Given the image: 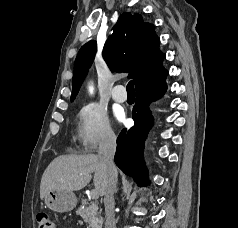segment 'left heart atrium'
<instances>
[{
    "label": "left heart atrium",
    "mask_w": 238,
    "mask_h": 228,
    "mask_svg": "<svg viewBox=\"0 0 238 228\" xmlns=\"http://www.w3.org/2000/svg\"><path fill=\"white\" fill-rule=\"evenodd\" d=\"M118 118H119L120 120H122V119H123V118H122V116H119Z\"/></svg>",
    "instance_id": "1"
}]
</instances>
